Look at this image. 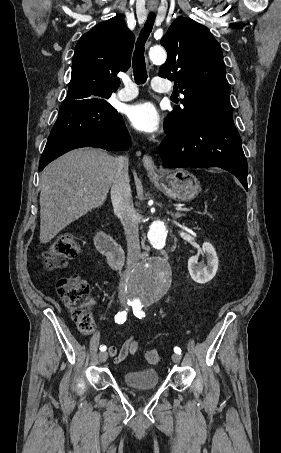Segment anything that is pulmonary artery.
<instances>
[{"label": "pulmonary artery", "mask_w": 281, "mask_h": 453, "mask_svg": "<svg viewBox=\"0 0 281 453\" xmlns=\"http://www.w3.org/2000/svg\"><path fill=\"white\" fill-rule=\"evenodd\" d=\"M160 77H154L153 80H161ZM124 87L118 90L116 97L121 101H128L135 98L138 92L134 89L133 83L126 77L122 78ZM158 91L167 92L169 89H158Z\"/></svg>", "instance_id": "1"}]
</instances>
